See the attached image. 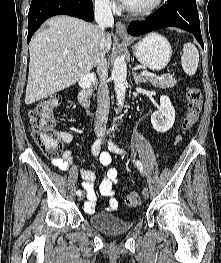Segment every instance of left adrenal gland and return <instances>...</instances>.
Returning <instances> with one entry per match:
<instances>
[{"instance_id":"1","label":"left adrenal gland","mask_w":221,"mask_h":263,"mask_svg":"<svg viewBox=\"0 0 221 263\" xmlns=\"http://www.w3.org/2000/svg\"><path fill=\"white\" fill-rule=\"evenodd\" d=\"M132 75H133L134 81L137 85L139 83H146V79L143 76L138 75L135 71L132 72Z\"/></svg>"}]
</instances>
